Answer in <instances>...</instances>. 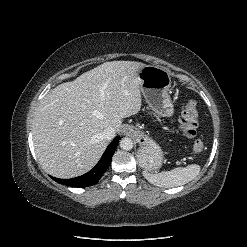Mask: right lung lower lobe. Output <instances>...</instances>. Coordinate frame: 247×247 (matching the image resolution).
I'll list each match as a JSON object with an SVG mask.
<instances>
[{"label": "right lung lower lobe", "mask_w": 247, "mask_h": 247, "mask_svg": "<svg viewBox=\"0 0 247 247\" xmlns=\"http://www.w3.org/2000/svg\"><path fill=\"white\" fill-rule=\"evenodd\" d=\"M120 140V137L117 136L107 147L103 156L97 163V165L90 170L88 173L71 179H59L55 177H51L57 183L71 186V187H88L91 185L96 184L101 176L105 173L108 169L109 165L111 164L112 156L115 152L116 146Z\"/></svg>", "instance_id": "98d812e1"}]
</instances>
